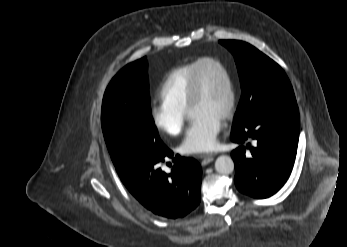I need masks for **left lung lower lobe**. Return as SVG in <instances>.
Here are the masks:
<instances>
[{
    "instance_id": "left-lung-lower-lobe-1",
    "label": "left lung lower lobe",
    "mask_w": 347,
    "mask_h": 247,
    "mask_svg": "<svg viewBox=\"0 0 347 247\" xmlns=\"http://www.w3.org/2000/svg\"><path fill=\"white\" fill-rule=\"evenodd\" d=\"M299 125V110L294 102L270 105L244 125L232 128L231 140L240 144L231 154L240 192L262 199L285 184L296 157Z\"/></svg>"
}]
</instances>
